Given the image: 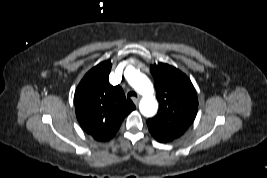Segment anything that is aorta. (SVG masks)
<instances>
[{
	"instance_id": "aorta-1",
	"label": "aorta",
	"mask_w": 267,
	"mask_h": 178,
	"mask_svg": "<svg viewBox=\"0 0 267 178\" xmlns=\"http://www.w3.org/2000/svg\"><path fill=\"white\" fill-rule=\"evenodd\" d=\"M129 84L143 96L140 101V112L146 116H153L158 108V103L154 97V89L148 77L136 70L131 71L127 76Z\"/></svg>"
}]
</instances>
